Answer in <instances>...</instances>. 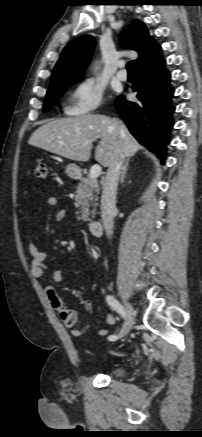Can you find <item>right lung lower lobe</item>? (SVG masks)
Wrapping results in <instances>:
<instances>
[{"mask_svg": "<svg viewBox=\"0 0 202 437\" xmlns=\"http://www.w3.org/2000/svg\"><path fill=\"white\" fill-rule=\"evenodd\" d=\"M136 69L132 90L137 92L138 100L129 102L118 97L115 107L139 143L164 161L169 132L174 125L170 74L161 54Z\"/></svg>", "mask_w": 202, "mask_h": 437, "instance_id": "1", "label": "right lung lower lobe"}]
</instances>
